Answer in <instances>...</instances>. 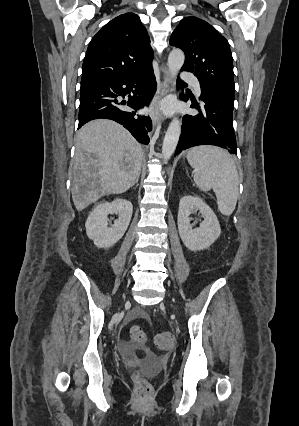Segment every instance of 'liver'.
<instances>
[{
  "mask_svg": "<svg viewBox=\"0 0 299 426\" xmlns=\"http://www.w3.org/2000/svg\"><path fill=\"white\" fill-rule=\"evenodd\" d=\"M72 200L78 211L99 198L127 191L140 175L143 150L118 123L97 119L75 138Z\"/></svg>",
  "mask_w": 299,
  "mask_h": 426,
  "instance_id": "6515ba94",
  "label": "liver"
}]
</instances>
